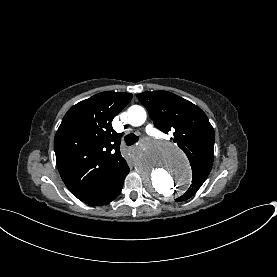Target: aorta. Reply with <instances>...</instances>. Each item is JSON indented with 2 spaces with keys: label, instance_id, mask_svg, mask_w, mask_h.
<instances>
[{
  "label": "aorta",
  "instance_id": "1",
  "mask_svg": "<svg viewBox=\"0 0 277 277\" xmlns=\"http://www.w3.org/2000/svg\"><path fill=\"white\" fill-rule=\"evenodd\" d=\"M127 120L132 126H140L146 120V111L139 105L131 106ZM134 163L146 189L159 199L168 200L191 183L184 153L168 141L152 138L141 141L135 150Z\"/></svg>",
  "mask_w": 277,
  "mask_h": 277
}]
</instances>
